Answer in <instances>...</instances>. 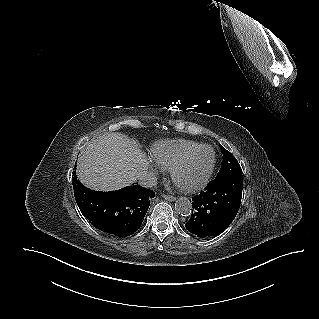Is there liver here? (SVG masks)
Returning <instances> with one entry per match:
<instances>
[{
    "label": "liver",
    "mask_w": 319,
    "mask_h": 319,
    "mask_svg": "<svg viewBox=\"0 0 319 319\" xmlns=\"http://www.w3.org/2000/svg\"><path fill=\"white\" fill-rule=\"evenodd\" d=\"M148 169L145 154L121 133L91 140L77 164L79 180L88 188L111 191L136 182Z\"/></svg>",
    "instance_id": "6515ba94"
}]
</instances>
